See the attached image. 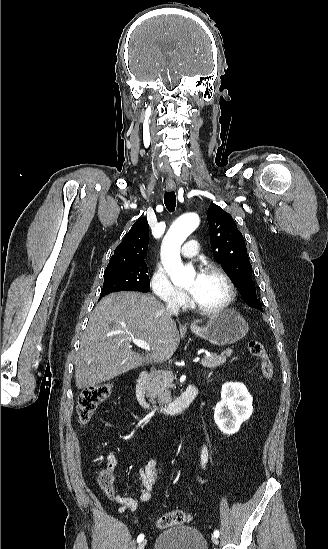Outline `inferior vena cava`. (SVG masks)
Segmentation results:
<instances>
[{"instance_id": "obj_1", "label": "inferior vena cava", "mask_w": 328, "mask_h": 549, "mask_svg": "<svg viewBox=\"0 0 328 549\" xmlns=\"http://www.w3.org/2000/svg\"><path fill=\"white\" fill-rule=\"evenodd\" d=\"M179 309L180 305H178V303H175V301H167L166 313H168V315H178Z\"/></svg>"}]
</instances>
